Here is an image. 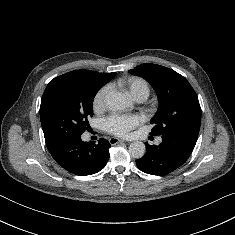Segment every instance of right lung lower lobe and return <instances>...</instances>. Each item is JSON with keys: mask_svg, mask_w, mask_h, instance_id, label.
I'll return each mask as SVG.
<instances>
[{"mask_svg": "<svg viewBox=\"0 0 235 235\" xmlns=\"http://www.w3.org/2000/svg\"><path fill=\"white\" fill-rule=\"evenodd\" d=\"M110 147V143L103 138L95 144L83 142L80 135H75L48 150L61 167L73 174L84 176L104 168L110 156Z\"/></svg>", "mask_w": 235, "mask_h": 235, "instance_id": "obj_1", "label": "right lung lower lobe"}]
</instances>
